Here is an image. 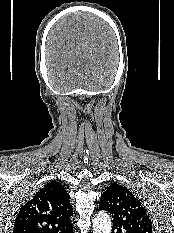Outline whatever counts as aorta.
<instances>
[{
    "mask_svg": "<svg viewBox=\"0 0 174 233\" xmlns=\"http://www.w3.org/2000/svg\"><path fill=\"white\" fill-rule=\"evenodd\" d=\"M112 223L110 216L104 212H99L93 221V233H111Z\"/></svg>",
    "mask_w": 174,
    "mask_h": 233,
    "instance_id": "aorta-1",
    "label": "aorta"
}]
</instances>
